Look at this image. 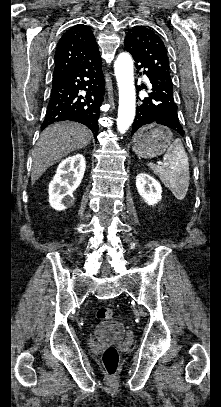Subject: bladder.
I'll use <instances>...</instances> for the list:
<instances>
[{"label":"bladder","mask_w":221,"mask_h":407,"mask_svg":"<svg viewBox=\"0 0 221 407\" xmlns=\"http://www.w3.org/2000/svg\"><path fill=\"white\" fill-rule=\"evenodd\" d=\"M125 332V325L121 320L112 319L105 324H99L95 327L94 333L98 337H105L111 340H117Z\"/></svg>","instance_id":"31cf9c89"}]
</instances>
